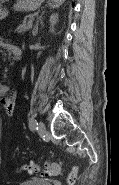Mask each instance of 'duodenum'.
<instances>
[{"label":"duodenum","mask_w":119,"mask_h":185,"mask_svg":"<svg viewBox=\"0 0 119 185\" xmlns=\"http://www.w3.org/2000/svg\"><path fill=\"white\" fill-rule=\"evenodd\" d=\"M13 53L17 59H19L21 57V50L19 48H15Z\"/></svg>","instance_id":"duodenum-1"}]
</instances>
